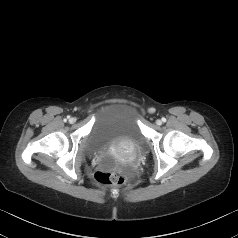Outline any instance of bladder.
<instances>
[{"label":"bladder","mask_w":238,"mask_h":238,"mask_svg":"<svg viewBox=\"0 0 238 238\" xmlns=\"http://www.w3.org/2000/svg\"><path fill=\"white\" fill-rule=\"evenodd\" d=\"M139 107L127 100H114L101 104L86 140V150L108 163L112 148L119 145L138 147L144 142L140 127Z\"/></svg>","instance_id":"obj_1"}]
</instances>
